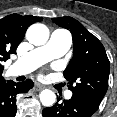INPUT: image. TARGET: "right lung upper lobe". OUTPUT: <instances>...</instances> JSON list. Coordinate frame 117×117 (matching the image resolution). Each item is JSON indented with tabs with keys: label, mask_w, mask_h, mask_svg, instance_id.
I'll use <instances>...</instances> for the list:
<instances>
[{
	"label": "right lung upper lobe",
	"mask_w": 117,
	"mask_h": 117,
	"mask_svg": "<svg viewBox=\"0 0 117 117\" xmlns=\"http://www.w3.org/2000/svg\"><path fill=\"white\" fill-rule=\"evenodd\" d=\"M41 20L42 17L18 14H11L0 19V82L4 80L1 62L9 59L12 53H16L17 46L21 43L27 28Z\"/></svg>",
	"instance_id": "1"
}]
</instances>
